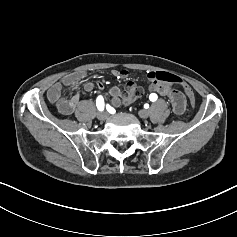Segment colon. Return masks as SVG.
<instances>
[{
  "label": "colon",
  "mask_w": 237,
  "mask_h": 237,
  "mask_svg": "<svg viewBox=\"0 0 237 237\" xmlns=\"http://www.w3.org/2000/svg\"><path fill=\"white\" fill-rule=\"evenodd\" d=\"M150 77L155 81L176 84L181 87L187 94L191 105L194 107L196 103L195 94L191 87L185 83L180 77L169 72H150ZM143 94V89L140 86L129 84L126 89L125 103L129 104L135 99H138Z\"/></svg>",
  "instance_id": "obj_1"
}]
</instances>
